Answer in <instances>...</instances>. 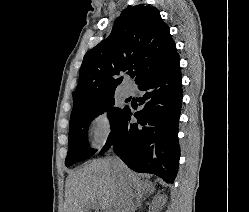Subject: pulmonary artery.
<instances>
[{"instance_id": "pulmonary-artery-1", "label": "pulmonary artery", "mask_w": 249, "mask_h": 212, "mask_svg": "<svg viewBox=\"0 0 249 212\" xmlns=\"http://www.w3.org/2000/svg\"><path fill=\"white\" fill-rule=\"evenodd\" d=\"M125 85L122 89V96L124 98H128L133 95L134 89L132 83L130 82V78L128 76L124 77Z\"/></svg>"}]
</instances>
